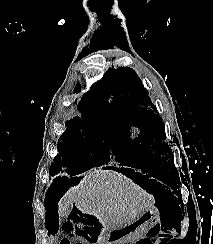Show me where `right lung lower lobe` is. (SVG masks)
<instances>
[{
  "instance_id": "1",
  "label": "right lung lower lobe",
  "mask_w": 213,
  "mask_h": 244,
  "mask_svg": "<svg viewBox=\"0 0 213 244\" xmlns=\"http://www.w3.org/2000/svg\"><path fill=\"white\" fill-rule=\"evenodd\" d=\"M69 179L65 178V177H61L59 175H55V179L52 183V185L50 186L49 192H57L58 188H60L61 190L66 188L67 186L70 185V183H68ZM48 196V195H47ZM45 203L47 204V198L45 200Z\"/></svg>"
}]
</instances>
